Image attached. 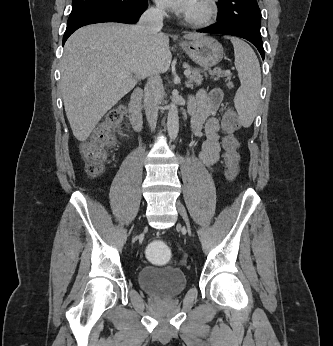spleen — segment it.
<instances>
[{
  "mask_svg": "<svg viewBox=\"0 0 333 346\" xmlns=\"http://www.w3.org/2000/svg\"><path fill=\"white\" fill-rule=\"evenodd\" d=\"M235 55V67L241 82L234 105L245 127H249L256 115L260 101L261 70L253 49L241 39L230 38Z\"/></svg>",
  "mask_w": 333,
  "mask_h": 346,
  "instance_id": "spleen-1",
  "label": "spleen"
}]
</instances>
